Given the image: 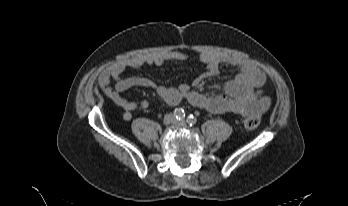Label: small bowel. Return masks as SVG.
Listing matches in <instances>:
<instances>
[{
    "mask_svg": "<svg viewBox=\"0 0 348 206\" xmlns=\"http://www.w3.org/2000/svg\"><path fill=\"white\" fill-rule=\"evenodd\" d=\"M186 54L180 51L139 54L112 64L102 71L98 78L101 92L122 109V117L129 121L134 110L148 107L146 100L130 101L121 93L135 86L153 88L168 106H176L182 99H187L193 106L212 113L232 112L244 117L259 115L270 107V100L262 94L265 83L264 73L253 63L236 56H221L210 52H202L199 60L206 66L200 77L192 86L182 84L177 88L157 85L152 80L142 77H123L127 67L140 69L149 65H162L166 62L180 63ZM222 64H230L238 68L235 78L229 80L222 94L207 95L197 88L201 80L215 76ZM115 82L114 85L112 82Z\"/></svg>",
    "mask_w": 348,
    "mask_h": 206,
    "instance_id": "obj_1",
    "label": "small bowel"
}]
</instances>
